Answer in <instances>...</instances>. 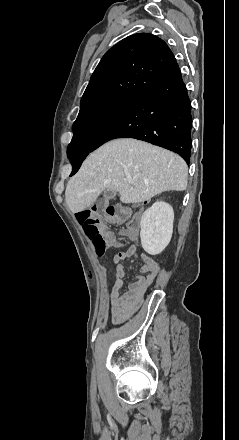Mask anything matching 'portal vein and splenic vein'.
<instances>
[{"label":"portal vein and splenic vein","mask_w":239,"mask_h":440,"mask_svg":"<svg viewBox=\"0 0 239 440\" xmlns=\"http://www.w3.org/2000/svg\"><path fill=\"white\" fill-rule=\"evenodd\" d=\"M128 182H129V184H133L132 178H128Z\"/></svg>","instance_id":"portal-vein-and-splenic-vein-1"}]
</instances>
